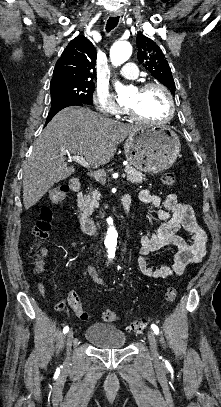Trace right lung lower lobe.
Segmentation results:
<instances>
[{"instance_id": "98d812e1", "label": "right lung lower lobe", "mask_w": 221, "mask_h": 407, "mask_svg": "<svg viewBox=\"0 0 221 407\" xmlns=\"http://www.w3.org/2000/svg\"><path fill=\"white\" fill-rule=\"evenodd\" d=\"M74 105L82 106L83 103L77 102V101H63V102L51 105V109H50V112L48 114L46 123H48L54 117V115L56 113H58L61 109L65 108V107H68V106H74Z\"/></svg>"}]
</instances>
